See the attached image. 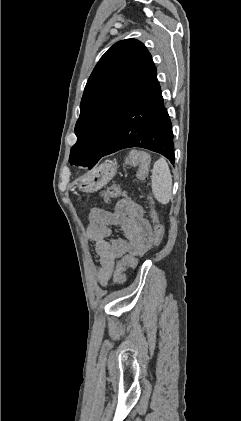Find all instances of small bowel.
I'll return each instance as SVG.
<instances>
[{"label":"small bowel","instance_id":"obj_1","mask_svg":"<svg viewBox=\"0 0 241 421\" xmlns=\"http://www.w3.org/2000/svg\"><path fill=\"white\" fill-rule=\"evenodd\" d=\"M113 227L121 232V238L109 239ZM87 234L99 257L97 278L102 286L107 285L114 275L118 259L126 255L143 256L151 248L154 237L142 206L127 196L112 211L93 208Z\"/></svg>","mask_w":241,"mask_h":421}]
</instances>
